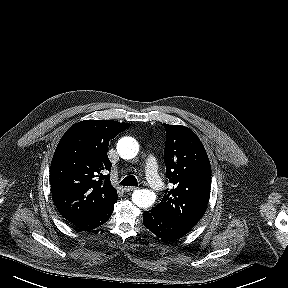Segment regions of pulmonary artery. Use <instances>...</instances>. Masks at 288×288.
Instances as JSON below:
<instances>
[{"label": "pulmonary artery", "instance_id": "pulmonary-artery-1", "mask_svg": "<svg viewBox=\"0 0 288 288\" xmlns=\"http://www.w3.org/2000/svg\"><path fill=\"white\" fill-rule=\"evenodd\" d=\"M145 176L149 185L156 190L163 187V183L159 177L158 165L154 156L149 155L145 161Z\"/></svg>", "mask_w": 288, "mask_h": 288}]
</instances>
